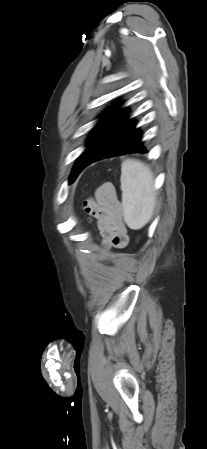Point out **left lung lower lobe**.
<instances>
[{
	"label": "left lung lower lobe",
	"mask_w": 207,
	"mask_h": 449,
	"mask_svg": "<svg viewBox=\"0 0 207 449\" xmlns=\"http://www.w3.org/2000/svg\"><path fill=\"white\" fill-rule=\"evenodd\" d=\"M135 124L132 120H122L110 133L90 164L104 158L128 153H146L147 150L141 141L142 134L135 128Z\"/></svg>",
	"instance_id": "obj_1"
}]
</instances>
